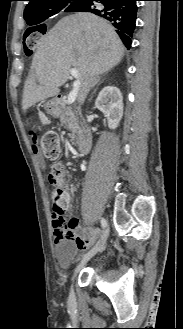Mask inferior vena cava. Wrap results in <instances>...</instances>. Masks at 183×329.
<instances>
[{"label": "inferior vena cava", "instance_id": "inferior-vena-cava-1", "mask_svg": "<svg viewBox=\"0 0 183 329\" xmlns=\"http://www.w3.org/2000/svg\"><path fill=\"white\" fill-rule=\"evenodd\" d=\"M93 86V83L90 81L84 82L82 85V89L80 91L79 97H78V101L80 103L84 102L90 88Z\"/></svg>", "mask_w": 183, "mask_h": 329}]
</instances>
